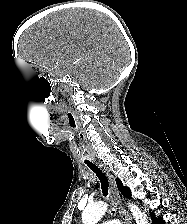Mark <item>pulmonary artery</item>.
Segmentation results:
<instances>
[{
	"label": "pulmonary artery",
	"mask_w": 187,
	"mask_h": 224,
	"mask_svg": "<svg viewBox=\"0 0 187 224\" xmlns=\"http://www.w3.org/2000/svg\"><path fill=\"white\" fill-rule=\"evenodd\" d=\"M102 224H117V223L113 221H106V222H103Z\"/></svg>",
	"instance_id": "pulmonary-artery-1"
}]
</instances>
